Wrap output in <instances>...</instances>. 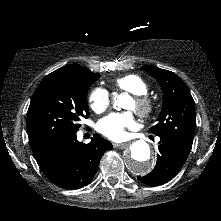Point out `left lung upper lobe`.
Masks as SVG:
<instances>
[{
    "instance_id": "left-lung-upper-lobe-1",
    "label": "left lung upper lobe",
    "mask_w": 221,
    "mask_h": 221,
    "mask_svg": "<svg viewBox=\"0 0 221 221\" xmlns=\"http://www.w3.org/2000/svg\"><path fill=\"white\" fill-rule=\"evenodd\" d=\"M150 73L163 90V106L158 123L150 132L171 141L185 155L191 151L196 127L194 100L187 85L175 73L150 65L141 67Z\"/></svg>"
}]
</instances>
